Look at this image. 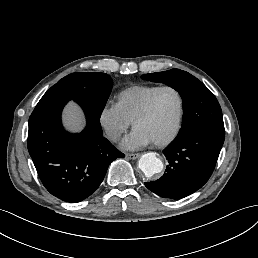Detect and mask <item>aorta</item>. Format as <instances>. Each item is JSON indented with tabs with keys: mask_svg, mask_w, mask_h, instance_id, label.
<instances>
[{
	"mask_svg": "<svg viewBox=\"0 0 258 258\" xmlns=\"http://www.w3.org/2000/svg\"><path fill=\"white\" fill-rule=\"evenodd\" d=\"M138 165L146 177H152L154 174L160 173L164 167L163 162L153 152L142 155Z\"/></svg>",
	"mask_w": 258,
	"mask_h": 258,
	"instance_id": "aorta-1",
	"label": "aorta"
}]
</instances>
